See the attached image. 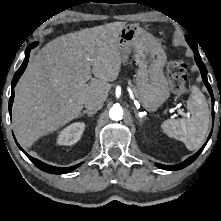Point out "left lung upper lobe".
I'll return each instance as SVG.
<instances>
[{
	"instance_id": "left-lung-upper-lobe-1",
	"label": "left lung upper lobe",
	"mask_w": 221,
	"mask_h": 221,
	"mask_svg": "<svg viewBox=\"0 0 221 221\" xmlns=\"http://www.w3.org/2000/svg\"><path fill=\"white\" fill-rule=\"evenodd\" d=\"M186 40L188 41V44L191 46L192 50H197V44L191 37L186 36Z\"/></svg>"
}]
</instances>
